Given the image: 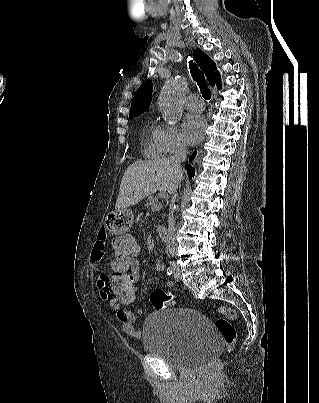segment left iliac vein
Returning a JSON list of instances; mask_svg holds the SVG:
<instances>
[{"instance_id": "left-iliac-vein-1", "label": "left iliac vein", "mask_w": 319, "mask_h": 403, "mask_svg": "<svg viewBox=\"0 0 319 403\" xmlns=\"http://www.w3.org/2000/svg\"><path fill=\"white\" fill-rule=\"evenodd\" d=\"M172 268L174 271L173 275H174L175 280L180 281L181 280V271H180L179 267L176 264H172Z\"/></svg>"}]
</instances>
